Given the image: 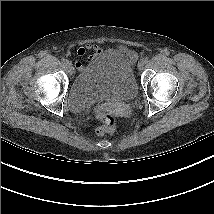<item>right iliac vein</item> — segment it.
<instances>
[{
    "label": "right iliac vein",
    "instance_id": "right-iliac-vein-1",
    "mask_svg": "<svg viewBox=\"0 0 214 214\" xmlns=\"http://www.w3.org/2000/svg\"><path fill=\"white\" fill-rule=\"evenodd\" d=\"M66 66L69 69V72L72 74L73 73L72 63L68 61V63L66 64Z\"/></svg>",
    "mask_w": 214,
    "mask_h": 214
}]
</instances>
